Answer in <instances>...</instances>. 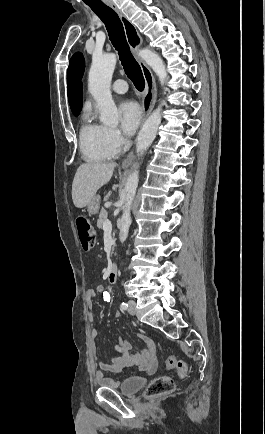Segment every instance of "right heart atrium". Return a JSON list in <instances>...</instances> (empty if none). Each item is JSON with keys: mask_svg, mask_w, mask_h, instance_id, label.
<instances>
[{"mask_svg": "<svg viewBox=\"0 0 265 434\" xmlns=\"http://www.w3.org/2000/svg\"><path fill=\"white\" fill-rule=\"evenodd\" d=\"M105 138L110 143V149L113 154H120L125 149L126 138L119 132L117 125H106L104 127Z\"/></svg>", "mask_w": 265, "mask_h": 434, "instance_id": "d8ad5b80", "label": "right heart atrium"}]
</instances>
